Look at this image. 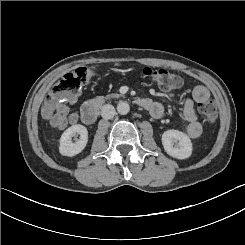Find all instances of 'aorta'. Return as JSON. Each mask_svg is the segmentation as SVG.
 <instances>
[{"label": "aorta", "mask_w": 245, "mask_h": 245, "mask_svg": "<svg viewBox=\"0 0 245 245\" xmlns=\"http://www.w3.org/2000/svg\"><path fill=\"white\" fill-rule=\"evenodd\" d=\"M130 111V106L125 101H120L117 105V112L121 115H126Z\"/></svg>", "instance_id": "aorta-1"}]
</instances>
